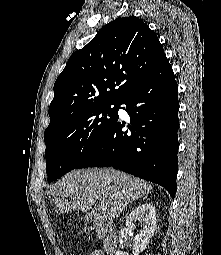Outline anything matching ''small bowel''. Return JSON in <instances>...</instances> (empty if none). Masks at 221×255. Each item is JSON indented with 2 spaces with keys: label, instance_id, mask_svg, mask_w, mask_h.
I'll use <instances>...</instances> for the list:
<instances>
[{
  "label": "small bowel",
  "instance_id": "c3829d8e",
  "mask_svg": "<svg viewBox=\"0 0 221 255\" xmlns=\"http://www.w3.org/2000/svg\"><path fill=\"white\" fill-rule=\"evenodd\" d=\"M91 255H103V253L100 250H95L91 253Z\"/></svg>",
  "mask_w": 221,
  "mask_h": 255
}]
</instances>
